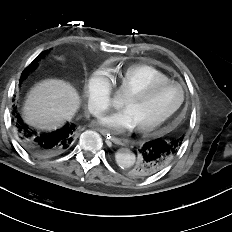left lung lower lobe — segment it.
I'll return each mask as SVG.
<instances>
[{"mask_svg": "<svg viewBox=\"0 0 232 232\" xmlns=\"http://www.w3.org/2000/svg\"><path fill=\"white\" fill-rule=\"evenodd\" d=\"M177 151L175 142L166 138H157L146 142L139 149V161L132 169V176L135 178L148 177L161 171L171 162Z\"/></svg>", "mask_w": 232, "mask_h": 232, "instance_id": "1", "label": "left lung lower lobe"}]
</instances>
